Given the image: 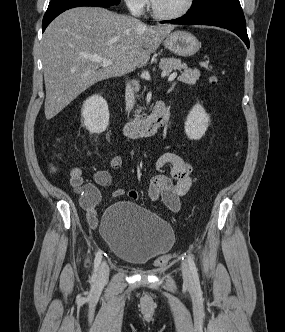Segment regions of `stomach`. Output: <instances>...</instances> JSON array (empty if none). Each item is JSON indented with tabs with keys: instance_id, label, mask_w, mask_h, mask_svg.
Returning a JSON list of instances; mask_svg holds the SVG:
<instances>
[{
	"instance_id": "obj_1",
	"label": "stomach",
	"mask_w": 285,
	"mask_h": 332,
	"mask_svg": "<svg viewBox=\"0 0 285 332\" xmlns=\"http://www.w3.org/2000/svg\"><path fill=\"white\" fill-rule=\"evenodd\" d=\"M163 44L171 52L181 57L194 55L200 47L198 39L185 31H176L167 35Z\"/></svg>"
}]
</instances>
